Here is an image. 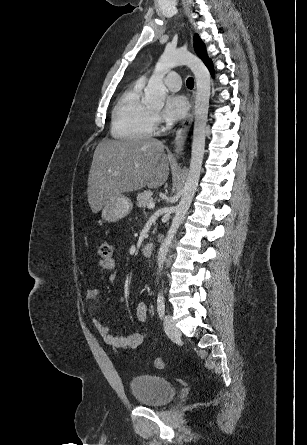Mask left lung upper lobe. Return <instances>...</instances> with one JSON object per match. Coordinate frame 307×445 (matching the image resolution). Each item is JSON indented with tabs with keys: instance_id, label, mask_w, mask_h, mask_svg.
<instances>
[{
	"instance_id": "1",
	"label": "left lung upper lobe",
	"mask_w": 307,
	"mask_h": 445,
	"mask_svg": "<svg viewBox=\"0 0 307 445\" xmlns=\"http://www.w3.org/2000/svg\"><path fill=\"white\" fill-rule=\"evenodd\" d=\"M194 48L198 56L204 61L205 64L210 62V59L207 57L205 45L198 35H195L194 37Z\"/></svg>"
}]
</instances>
